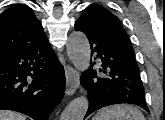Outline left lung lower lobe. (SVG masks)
<instances>
[{"label": "left lung lower lobe", "mask_w": 165, "mask_h": 120, "mask_svg": "<svg viewBox=\"0 0 165 120\" xmlns=\"http://www.w3.org/2000/svg\"><path fill=\"white\" fill-rule=\"evenodd\" d=\"M75 30L82 31L88 38L91 56L94 54L101 68L90 70L81 77V84L87 89L89 108L87 117L94 111L113 104L130 103L141 106L149 112L145 102V91L140 71L135 61L114 46L95 36L78 21ZM95 64H91V67Z\"/></svg>", "instance_id": "1"}]
</instances>
